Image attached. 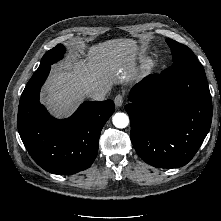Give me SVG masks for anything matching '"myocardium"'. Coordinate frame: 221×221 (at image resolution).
<instances>
[{
    "label": "myocardium",
    "instance_id": "obj_1",
    "mask_svg": "<svg viewBox=\"0 0 221 221\" xmlns=\"http://www.w3.org/2000/svg\"><path fill=\"white\" fill-rule=\"evenodd\" d=\"M154 59L153 58H147V60L145 61L143 68H144V72H148L153 66H154Z\"/></svg>",
    "mask_w": 221,
    "mask_h": 221
}]
</instances>
